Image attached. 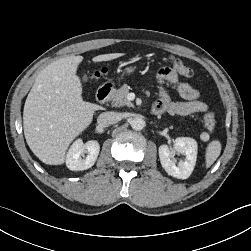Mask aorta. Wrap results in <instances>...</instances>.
I'll return each instance as SVG.
<instances>
[{"instance_id": "1", "label": "aorta", "mask_w": 251, "mask_h": 251, "mask_svg": "<svg viewBox=\"0 0 251 251\" xmlns=\"http://www.w3.org/2000/svg\"><path fill=\"white\" fill-rule=\"evenodd\" d=\"M131 127L134 130H142L145 127V121L141 117H135L131 120Z\"/></svg>"}]
</instances>
